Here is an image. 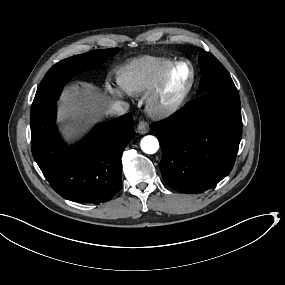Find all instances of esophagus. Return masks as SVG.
I'll list each match as a JSON object with an SVG mask.
<instances>
[{
    "label": "esophagus",
    "instance_id": "esophagus-1",
    "mask_svg": "<svg viewBox=\"0 0 285 285\" xmlns=\"http://www.w3.org/2000/svg\"><path fill=\"white\" fill-rule=\"evenodd\" d=\"M150 130V127H149V124L144 121V120H141L138 125H137V132L140 133V134H146L148 133Z\"/></svg>",
    "mask_w": 285,
    "mask_h": 285
}]
</instances>
